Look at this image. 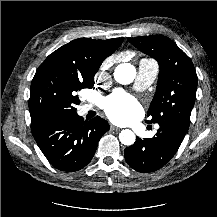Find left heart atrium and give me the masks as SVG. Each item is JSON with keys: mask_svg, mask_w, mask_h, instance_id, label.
I'll use <instances>...</instances> for the list:
<instances>
[{"mask_svg": "<svg viewBox=\"0 0 217 217\" xmlns=\"http://www.w3.org/2000/svg\"><path fill=\"white\" fill-rule=\"evenodd\" d=\"M107 116L117 123H127L131 121L140 111L138 102L131 96L116 91L104 103Z\"/></svg>", "mask_w": 217, "mask_h": 217, "instance_id": "obj_1", "label": "left heart atrium"}]
</instances>
